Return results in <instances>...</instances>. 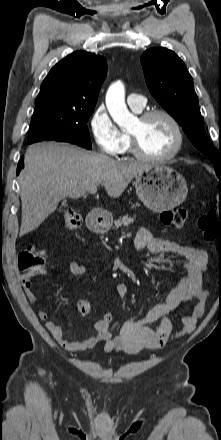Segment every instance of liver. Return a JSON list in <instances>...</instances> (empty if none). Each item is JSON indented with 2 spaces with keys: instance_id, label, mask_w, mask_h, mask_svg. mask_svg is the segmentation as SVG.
Returning a JSON list of instances; mask_svg holds the SVG:
<instances>
[{
  "instance_id": "1",
  "label": "liver",
  "mask_w": 221,
  "mask_h": 440,
  "mask_svg": "<svg viewBox=\"0 0 221 440\" xmlns=\"http://www.w3.org/2000/svg\"><path fill=\"white\" fill-rule=\"evenodd\" d=\"M20 173L22 222L20 236L36 228L61 199H77L102 184L112 198L122 195L131 180L150 165L123 162L76 146L41 142L31 145Z\"/></svg>"
}]
</instances>
